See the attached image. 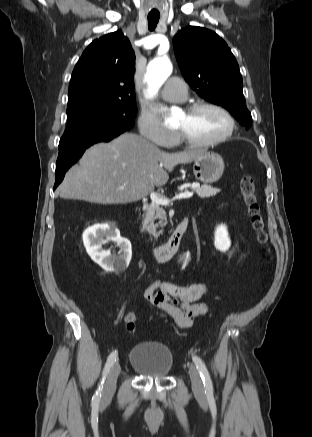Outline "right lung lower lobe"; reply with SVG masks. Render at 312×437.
Returning <instances> with one entry per match:
<instances>
[{
  "mask_svg": "<svg viewBox=\"0 0 312 437\" xmlns=\"http://www.w3.org/2000/svg\"><path fill=\"white\" fill-rule=\"evenodd\" d=\"M118 135L120 134L89 140L87 142L75 145L67 150L59 151L56 164V181L54 189L61 183L66 171L77 162L86 148L98 142H108Z\"/></svg>",
  "mask_w": 312,
  "mask_h": 437,
  "instance_id": "1",
  "label": "right lung lower lobe"
}]
</instances>
